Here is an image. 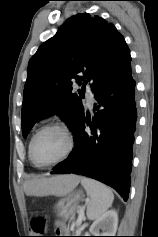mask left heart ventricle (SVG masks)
I'll use <instances>...</instances> for the list:
<instances>
[{
  "instance_id": "obj_1",
  "label": "left heart ventricle",
  "mask_w": 158,
  "mask_h": 237,
  "mask_svg": "<svg viewBox=\"0 0 158 237\" xmlns=\"http://www.w3.org/2000/svg\"><path fill=\"white\" fill-rule=\"evenodd\" d=\"M66 148V135L59 129H49L36 138L33 155L37 162L45 164L59 158Z\"/></svg>"
}]
</instances>
